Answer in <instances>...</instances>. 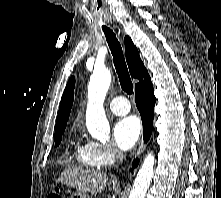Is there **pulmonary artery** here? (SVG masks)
<instances>
[{"label":"pulmonary artery","mask_w":221,"mask_h":198,"mask_svg":"<svg viewBox=\"0 0 221 198\" xmlns=\"http://www.w3.org/2000/svg\"><path fill=\"white\" fill-rule=\"evenodd\" d=\"M110 109L116 115H126L130 111V104L123 96H117L110 101Z\"/></svg>","instance_id":"e3ab8cb5"}]
</instances>
